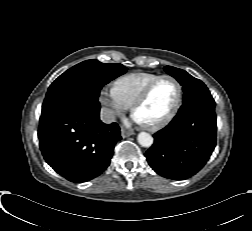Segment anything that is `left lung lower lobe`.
<instances>
[{
  "mask_svg": "<svg viewBox=\"0 0 252 231\" xmlns=\"http://www.w3.org/2000/svg\"><path fill=\"white\" fill-rule=\"evenodd\" d=\"M215 102L212 97L183 103L174 119L154 134L145 153L152 169L169 179H187L208 161L216 145Z\"/></svg>",
  "mask_w": 252,
  "mask_h": 231,
  "instance_id": "obj_1",
  "label": "left lung lower lobe"
}]
</instances>
